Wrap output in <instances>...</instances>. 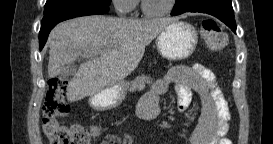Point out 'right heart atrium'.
<instances>
[{
    "label": "right heart atrium",
    "instance_id": "1",
    "mask_svg": "<svg viewBox=\"0 0 273 144\" xmlns=\"http://www.w3.org/2000/svg\"><path fill=\"white\" fill-rule=\"evenodd\" d=\"M115 11L120 15L131 14L137 6L136 0H112Z\"/></svg>",
    "mask_w": 273,
    "mask_h": 144
}]
</instances>
